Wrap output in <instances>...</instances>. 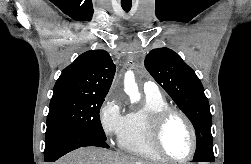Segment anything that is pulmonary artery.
<instances>
[{"label":"pulmonary artery","instance_id":"e3ab8cb5","mask_svg":"<svg viewBox=\"0 0 251 164\" xmlns=\"http://www.w3.org/2000/svg\"><path fill=\"white\" fill-rule=\"evenodd\" d=\"M143 90L146 95H160L158 86L151 81H147L144 83Z\"/></svg>","mask_w":251,"mask_h":164}]
</instances>
